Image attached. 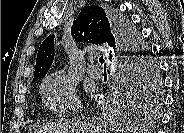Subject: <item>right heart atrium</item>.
Listing matches in <instances>:
<instances>
[{
	"label": "right heart atrium",
	"instance_id": "obj_1",
	"mask_svg": "<svg viewBox=\"0 0 184 133\" xmlns=\"http://www.w3.org/2000/svg\"><path fill=\"white\" fill-rule=\"evenodd\" d=\"M41 94L46 106L56 114H65L79 107L75 84L61 70L44 79Z\"/></svg>",
	"mask_w": 184,
	"mask_h": 133
}]
</instances>
